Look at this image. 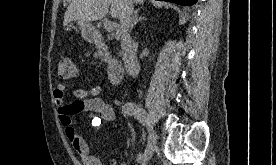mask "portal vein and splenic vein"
Segmentation results:
<instances>
[{"label": "portal vein and splenic vein", "instance_id": "1", "mask_svg": "<svg viewBox=\"0 0 276 165\" xmlns=\"http://www.w3.org/2000/svg\"><path fill=\"white\" fill-rule=\"evenodd\" d=\"M104 26L107 32H112L117 27V24L115 22H107Z\"/></svg>", "mask_w": 276, "mask_h": 165}]
</instances>
